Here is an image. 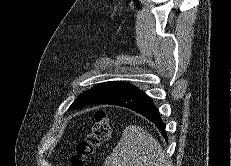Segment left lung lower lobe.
<instances>
[{
    "label": "left lung lower lobe",
    "mask_w": 231,
    "mask_h": 166,
    "mask_svg": "<svg viewBox=\"0 0 231 166\" xmlns=\"http://www.w3.org/2000/svg\"><path fill=\"white\" fill-rule=\"evenodd\" d=\"M91 104H109L129 108L150 120L161 131L165 139V125L158 109L148 95L130 83H123L114 90L100 96Z\"/></svg>",
    "instance_id": "left-lung-lower-lobe-1"
}]
</instances>
